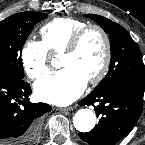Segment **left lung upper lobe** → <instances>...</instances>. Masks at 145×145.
Returning <instances> with one entry per match:
<instances>
[{
  "label": "left lung upper lobe",
  "instance_id": "left-lung-upper-lobe-1",
  "mask_svg": "<svg viewBox=\"0 0 145 145\" xmlns=\"http://www.w3.org/2000/svg\"><path fill=\"white\" fill-rule=\"evenodd\" d=\"M85 17L96 21L110 37L111 62L105 78L91 93H100L120 84L145 87V72L138 45L119 24L99 15Z\"/></svg>",
  "mask_w": 145,
  "mask_h": 145
}]
</instances>
